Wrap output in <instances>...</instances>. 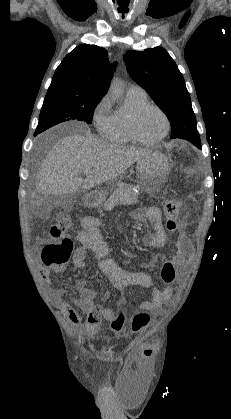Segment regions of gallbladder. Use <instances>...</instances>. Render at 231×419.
Instances as JSON below:
<instances>
[{"mask_svg": "<svg viewBox=\"0 0 231 419\" xmlns=\"http://www.w3.org/2000/svg\"><path fill=\"white\" fill-rule=\"evenodd\" d=\"M47 199H48V203L51 206L67 207L69 206L72 196L71 195L49 196Z\"/></svg>", "mask_w": 231, "mask_h": 419, "instance_id": "1", "label": "gallbladder"}]
</instances>
